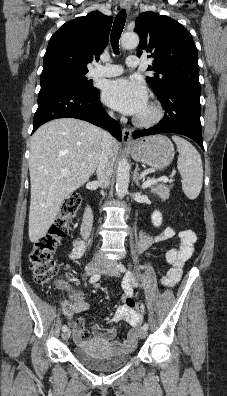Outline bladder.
<instances>
[{"mask_svg":"<svg viewBox=\"0 0 227 396\" xmlns=\"http://www.w3.org/2000/svg\"><path fill=\"white\" fill-rule=\"evenodd\" d=\"M73 354L84 367L95 372H111L128 364L132 358L130 352L107 353L93 342L74 347Z\"/></svg>","mask_w":227,"mask_h":396,"instance_id":"obj_1","label":"bladder"}]
</instances>
